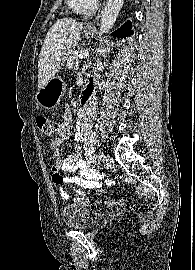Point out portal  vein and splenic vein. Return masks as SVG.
<instances>
[{"label":"portal vein and splenic vein","instance_id":"portal-vein-and-splenic-vein-1","mask_svg":"<svg viewBox=\"0 0 195 270\" xmlns=\"http://www.w3.org/2000/svg\"><path fill=\"white\" fill-rule=\"evenodd\" d=\"M89 56V53L88 52H84L82 54L79 55V58H87Z\"/></svg>","mask_w":195,"mask_h":270}]
</instances>
